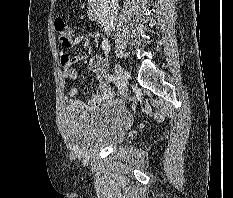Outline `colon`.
<instances>
[{"label": "colon", "instance_id": "colon-1", "mask_svg": "<svg viewBox=\"0 0 233 198\" xmlns=\"http://www.w3.org/2000/svg\"><path fill=\"white\" fill-rule=\"evenodd\" d=\"M55 29L59 34L60 42L66 47H71L74 42V34L62 19L55 20Z\"/></svg>", "mask_w": 233, "mask_h": 198}]
</instances>
